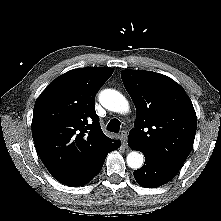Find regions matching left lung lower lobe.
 <instances>
[{"label": "left lung lower lobe", "instance_id": "1", "mask_svg": "<svg viewBox=\"0 0 221 221\" xmlns=\"http://www.w3.org/2000/svg\"><path fill=\"white\" fill-rule=\"evenodd\" d=\"M134 150L135 147L130 145ZM145 163L140 169L134 171V177L142 187H159L173 179L179 169L159 162L149 154H144Z\"/></svg>", "mask_w": 221, "mask_h": 221}]
</instances>
